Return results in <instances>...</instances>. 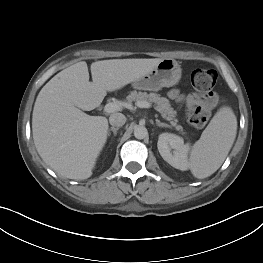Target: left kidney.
<instances>
[{
  "label": "left kidney",
  "instance_id": "5707ae66",
  "mask_svg": "<svg viewBox=\"0 0 263 263\" xmlns=\"http://www.w3.org/2000/svg\"><path fill=\"white\" fill-rule=\"evenodd\" d=\"M157 147L162 158L172 167L187 170L190 146L185 144L181 137L171 133H162L159 136Z\"/></svg>",
  "mask_w": 263,
  "mask_h": 263
}]
</instances>
